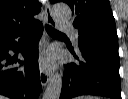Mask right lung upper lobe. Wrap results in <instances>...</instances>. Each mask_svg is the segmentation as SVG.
Returning <instances> with one entry per match:
<instances>
[{
	"mask_svg": "<svg viewBox=\"0 0 128 99\" xmlns=\"http://www.w3.org/2000/svg\"><path fill=\"white\" fill-rule=\"evenodd\" d=\"M40 9L37 0H0V39L34 22Z\"/></svg>",
	"mask_w": 128,
	"mask_h": 99,
	"instance_id": "1",
	"label": "right lung upper lobe"
}]
</instances>
